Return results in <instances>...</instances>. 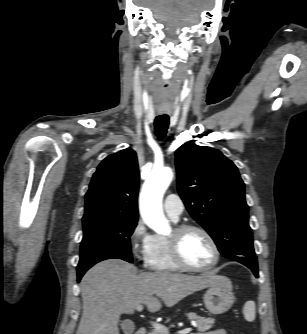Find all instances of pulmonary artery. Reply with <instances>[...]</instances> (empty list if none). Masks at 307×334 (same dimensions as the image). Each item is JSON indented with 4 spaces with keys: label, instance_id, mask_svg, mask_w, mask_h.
Listing matches in <instances>:
<instances>
[{
    "label": "pulmonary artery",
    "instance_id": "obj_1",
    "mask_svg": "<svg viewBox=\"0 0 307 334\" xmlns=\"http://www.w3.org/2000/svg\"><path fill=\"white\" fill-rule=\"evenodd\" d=\"M164 211L173 220L178 221L183 212V202L177 194H169L164 200Z\"/></svg>",
    "mask_w": 307,
    "mask_h": 334
}]
</instances>
